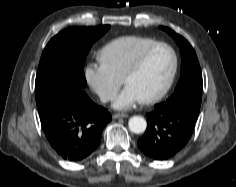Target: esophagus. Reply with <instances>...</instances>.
Here are the masks:
<instances>
[{
  "label": "esophagus",
  "instance_id": "obj_1",
  "mask_svg": "<svg viewBox=\"0 0 236 187\" xmlns=\"http://www.w3.org/2000/svg\"><path fill=\"white\" fill-rule=\"evenodd\" d=\"M112 117H113V119H118V118H126V117H128V115L124 114V113H116Z\"/></svg>",
  "mask_w": 236,
  "mask_h": 187
}]
</instances>
